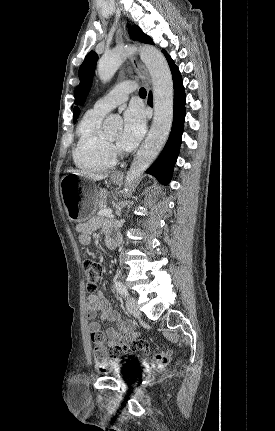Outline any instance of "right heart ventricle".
<instances>
[{"mask_svg": "<svg viewBox=\"0 0 275 431\" xmlns=\"http://www.w3.org/2000/svg\"><path fill=\"white\" fill-rule=\"evenodd\" d=\"M105 113L89 110L77 128V144L73 151L77 167L91 172H100L115 164L107 139L101 132V123Z\"/></svg>", "mask_w": 275, "mask_h": 431, "instance_id": "e07e8e85", "label": "right heart ventricle"}]
</instances>
